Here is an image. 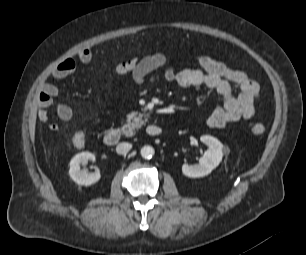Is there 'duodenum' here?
<instances>
[{
  "label": "duodenum",
  "instance_id": "410a0bca",
  "mask_svg": "<svg viewBox=\"0 0 306 255\" xmlns=\"http://www.w3.org/2000/svg\"><path fill=\"white\" fill-rule=\"evenodd\" d=\"M146 132L151 137L160 136L162 133V129L156 125H149L146 128ZM122 137V130L120 128H111L106 131L104 135V142L106 145L113 146L116 145Z\"/></svg>",
  "mask_w": 306,
  "mask_h": 255
}]
</instances>
